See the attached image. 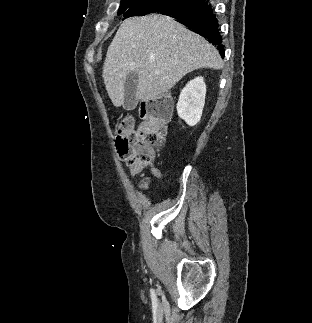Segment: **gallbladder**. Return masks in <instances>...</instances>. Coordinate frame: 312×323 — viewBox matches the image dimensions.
I'll use <instances>...</instances> for the list:
<instances>
[{"instance_id": "bac80fb5", "label": "gallbladder", "mask_w": 312, "mask_h": 323, "mask_svg": "<svg viewBox=\"0 0 312 323\" xmlns=\"http://www.w3.org/2000/svg\"><path fill=\"white\" fill-rule=\"evenodd\" d=\"M138 88V76L136 72H130L126 76L124 86V110H133L137 106L136 92Z\"/></svg>"}]
</instances>
